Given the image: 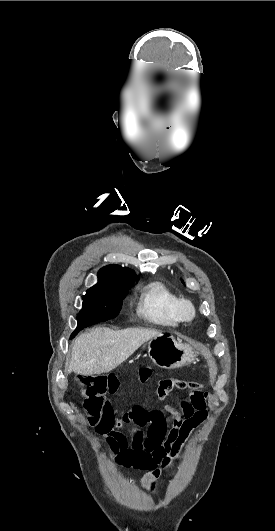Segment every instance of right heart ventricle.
<instances>
[{"mask_svg": "<svg viewBox=\"0 0 275 531\" xmlns=\"http://www.w3.org/2000/svg\"><path fill=\"white\" fill-rule=\"evenodd\" d=\"M177 295L160 280H152L140 289L138 311L149 321L163 326H175L179 320L173 306Z\"/></svg>", "mask_w": 275, "mask_h": 531, "instance_id": "right-heart-ventricle-1", "label": "right heart ventricle"}]
</instances>
